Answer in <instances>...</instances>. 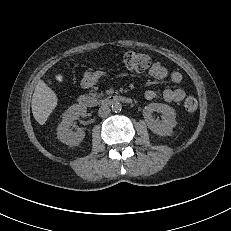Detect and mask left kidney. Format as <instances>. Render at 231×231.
I'll list each match as a JSON object with an SVG mask.
<instances>
[{
    "instance_id": "obj_1",
    "label": "left kidney",
    "mask_w": 231,
    "mask_h": 231,
    "mask_svg": "<svg viewBox=\"0 0 231 231\" xmlns=\"http://www.w3.org/2000/svg\"><path fill=\"white\" fill-rule=\"evenodd\" d=\"M162 114V120L158 121L153 118L152 113ZM143 116L148 128L160 136H168L172 133L173 128L177 125L176 112L167 104L150 103L143 109Z\"/></svg>"
}]
</instances>
